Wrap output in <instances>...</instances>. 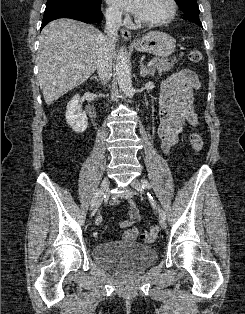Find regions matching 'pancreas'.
<instances>
[{"instance_id": "pancreas-1", "label": "pancreas", "mask_w": 245, "mask_h": 314, "mask_svg": "<svg viewBox=\"0 0 245 314\" xmlns=\"http://www.w3.org/2000/svg\"><path fill=\"white\" fill-rule=\"evenodd\" d=\"M176 61L177 60L175 57L173 59L169 58L157 59L154 65L152 66L151 71L154 73L155 70H157L158 73L161 75L167 71H170L174 66V62Z\"/></svg>"}]
</instances>
